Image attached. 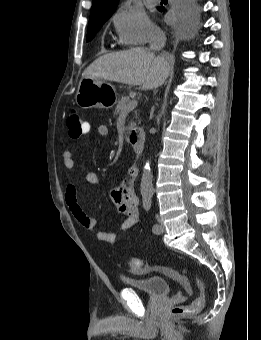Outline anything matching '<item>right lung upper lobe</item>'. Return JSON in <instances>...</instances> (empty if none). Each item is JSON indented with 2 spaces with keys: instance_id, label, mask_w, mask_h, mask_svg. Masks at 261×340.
<instances>
[{
  "instance_id": "cb5924a9",
  "label": "right lung upper lobe",
  "mask_w": 261,
  "mask_h": 340,
  "mask_svg": "<svg viewBox=\"0 0 261 340\" xmlns=\"http://www.w3.org/2000/svg\"><path fill=\"white\" fill-rule=\"evenodd\" d=\"M118 0H93L89 24L103 18L111 17Z\"/></svg>"
}]
</instances>
